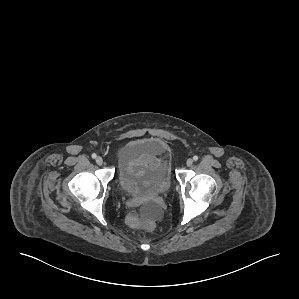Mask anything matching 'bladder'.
<instances>
[{
    "mask_svg": "<svg viewBox=\"0 0 299 299\" xmlns=\"http://www.w3.org/2000/svg\"><path fill=\"white\" fill-rule=\"evenodd\" d=\"M129 159H151V165L138 164L135 166V175L129 176L123 172L124 178H132L141 184L143 190L158 194L166 193L171 185L169 165L163 158L164 145L156 139L137 140L129 144L125 151ZM123 188V185H121Z\"/></svg>",
    "mask_w": 299,
    "mask_h": 299,
    "instance_id": "bladder-1",
    "label": "bladder"
}]
</instances>
